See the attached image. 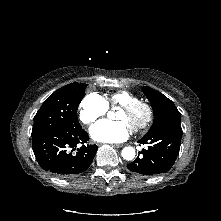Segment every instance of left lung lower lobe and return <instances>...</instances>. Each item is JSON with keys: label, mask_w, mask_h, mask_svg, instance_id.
Here are the masks:
<instances>
[{"label": "left lung lower lobe", "mask_w": 221, "mask_h": 221, "mask_svg": "<svg viewBox=\"0 0 221 221\" xmlns=\"http://www.w3.org/2000/svg\"><path fill=\"white\" fill-rule=\"evenodd\" d=\"M182 128L163 127L146 134L138 143L147 144L127 167L130 171L144 176L165 173L173 166L181 144Z\"/></svg>", "instance_id": "1"}]
</instances>
